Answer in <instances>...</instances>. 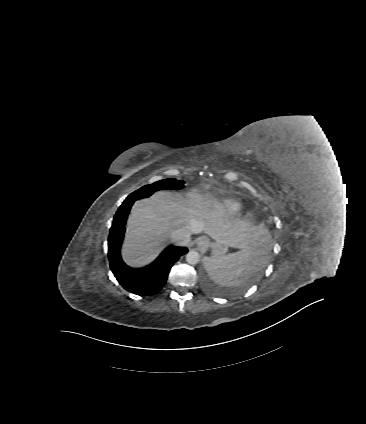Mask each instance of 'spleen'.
Instances as JSON below:
<instances>
[{"label": "spleen", "mask_w": 366, "mask_h": 424, "mask_svg": "<svg viewBox=\"0 0 366 424\" xmlns=\"http://www.w3.org/2000/svg\"><path fill=\"white\" fill-rule=\"evenodd\" d=\"M265 253L258 246L246 247L236 253L206 258L205 268L215 282L239 286L255 273Z\"/></svg>", "instance_id": "spleen-1"}]
</instances>
